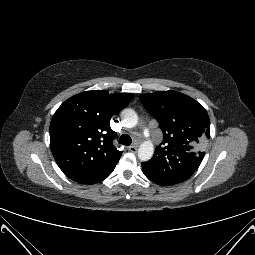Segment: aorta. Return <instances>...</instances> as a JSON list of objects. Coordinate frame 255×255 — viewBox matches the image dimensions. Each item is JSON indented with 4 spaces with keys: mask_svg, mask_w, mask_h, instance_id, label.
I'll list each match as a JSON object with an SVG mask.
<instances>
[{
    "mask_svg": "<svg viewBox=\"0 0 255 255\" xmlns=\"http://www.w3.org/2000/svg\"><path fill=\"white\" fill-rule=\"evenodd\" d=\"M123 123L128 127H134L138 122V116L135 111L125 109L121 113ZM154 154V145L151 141H144L138 149V158L141 161H149Z\"/></svg>",
    "mask_w": 255,
    "mask_h": 255,
    "instance_id": "1",
    "label": "aorta"
}]
</instances>
